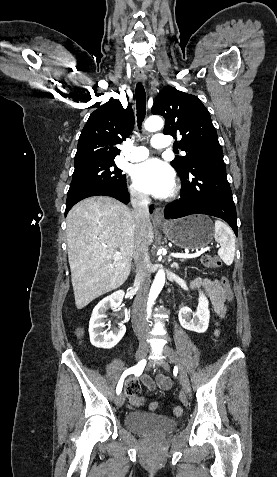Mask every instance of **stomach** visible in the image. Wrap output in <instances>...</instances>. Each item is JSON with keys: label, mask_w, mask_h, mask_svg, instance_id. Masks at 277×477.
<instances>
[{"label": "stomach", "mask_w": 277, "mask_h": 477, "mask_svg": "<svg viewBox=\"0 0 277 477\" xmlns=\"http://www.w3.org/2000/svg\"><path fill=\"white\" fill-rule=\"evenodd\" d=\"M161 230L176 246L189 250L206 247L215 233L211 219L205 215H191L170 221Z\"/></svg>", "instance_id": "obj_1"}]
</instances>
